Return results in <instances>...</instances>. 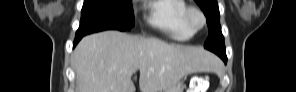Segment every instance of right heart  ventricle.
<instances>
[{
  "label": "right heart ventricle",
  "mask_w": 296,
  "mask_h": 92,
  "mask_svg": "<svg viewBox=\"0 0 296 92\" xmlns=\"http://www.w3.org/2000/svg\"><path fill=\"white\" fill-rule=\"evenodd\" d=\"M187 9L188 5L183 0L153 1L148 22L173 39L187 40L193 36L185 21Z\"/></svg>",
  "instance_id": "1"
}]
</instances>
